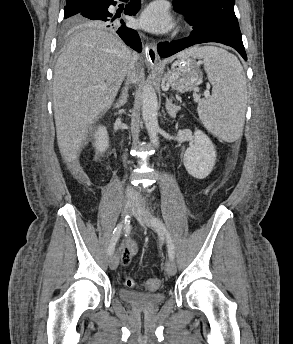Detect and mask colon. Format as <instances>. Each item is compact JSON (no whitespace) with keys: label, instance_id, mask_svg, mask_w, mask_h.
<instances>
[{"label":"colon","instance_id":"1","mask_svg":"<svg viewBox=\"0 0 293 344\" xmlns=\"http://www.w3.org/2000/svg\"><path fill=\"white\" fill-rule=\"evenodd\" d=\"M127 285L131 286L133 285V280L132 279H127L126 280ZM146 286L150 290H155L159 287V282L156 279H150L147 281Z\"/></svg>","mask_w":293,"mask_h":344}]
</instances>
